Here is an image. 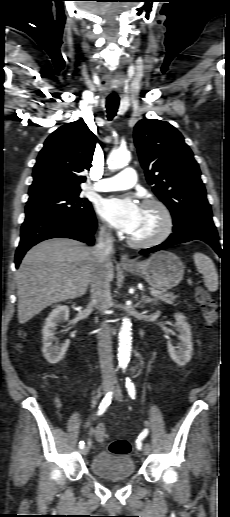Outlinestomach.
I'll list each match as a JSON object with an SVG mask.
<instances>
[{"mask_svg": "<svg viewBox=\"0 0 230 517\" xmlns=\"http://www.w3.org/2000/svg\"><path fill=\"white\" fill-rule=\"evenodd\" d=\"M133 275L143 277L153 288L168 290L177 286L184 275V265L178 256L169 251L154 253L133 267H125Z\"/></svg>", "mask_w": 230, "mask_h": 517, "instance_id": "0dacf381", "label": "stomach"}]
</instances>
